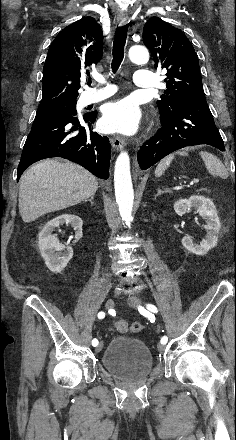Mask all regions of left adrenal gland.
<instances>
[{"label":"left adrenal gland","mask_w":236,"mask_h":440,"mask_svg":"<svg viewBox=\"0 0 236 440\" xmlns=\"http://www.w3.org/2000/svg\"><path fill=\"white\" fill-rule=\"evenodd\" d=\"M162 193H171V190H170V189H164V190H161L160 188H158V189H157V194H156L155 197L161 195Z\"/></svg>","instance_id":"left-adrenal-gland-1"}]
</instances>
